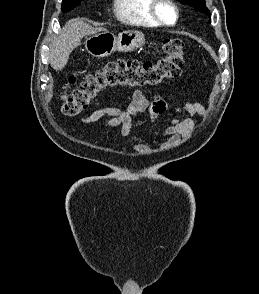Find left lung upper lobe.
Returning a JSON list of instances; mask_svg holds the SVG:
<instances>
[{"label": "left lung upper lobe", "mask_w": 259, "mask_h": 294, "mask_svg": "<svg viewBox=\"0 0 259 294\" xmlns=\"http://www.w3.org/2000/svg\"><path fill=\"white\" fill-rule=\"evenodd\" d=\"M181 3L185 4V5H190L192 6L194 9L200 11V12H204L205 14H207L209 17V10L206 7V3L205 0H178Z\"/></svg>", "instance_id": "left-lung-upper-lobe-1"}]
</instances>
